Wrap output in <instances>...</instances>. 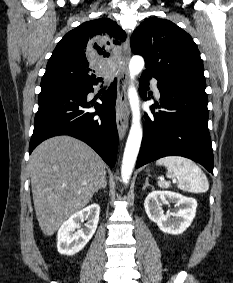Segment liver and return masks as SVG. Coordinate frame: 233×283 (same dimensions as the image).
<instances>
[{
    "instance_id": "6515ba94",
    "label": "liver",
    "mask_w": 233,
    "mask_h": 283,
    "mask_svg": "<svg viewBox=\"0 0 233 283\" xmlns=\"http://www.w3.org/2000/svg\"><path fill=\"white\" fill-rule=\"evenodd\" d=\"M29 171L36 217L46 236L89 203L106 174L100 156L71 136H56L37 146Z\"/></svg>"
}]
</instances>
